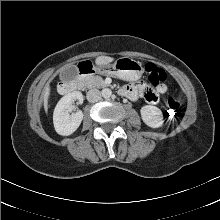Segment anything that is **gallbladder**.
<instances>
[{
    "label": "gallbladder",
    "mask_w": 220,
    "mask_h": 220,
    "mask_svg": "<svg viewBox=\"0 0 220 220\" xmlns=\"http://www.w3.org/2000/svg\"><path fill=\"white\" fill-rule=\"evenodd\" d=\"M77 67L75 65H71L68 68H66L62 74L63 78H67L69 80H73L77 77Z\"/></svg>",
    "instance_id": "bac80fb5"
}]
</instances>
